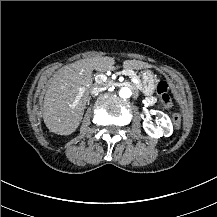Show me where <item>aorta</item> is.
Wrapping results in <instances>:
<instances>
[{"label": "aorta", "instance_id": "aorta-1", "mask_svg": "<svg viewBox=\"0 0 217 217\" xmlns=\"http://www.w3.org/2000/svg\"><path fill=\"white\" fill-rule=\"evenodd\" d=\"M132 95V91L129 87H122L119 91V96L121 98L127 99L130 98Z\"/></svg>", "mask_w": 217, "mask_h": 217}]
</instances>
